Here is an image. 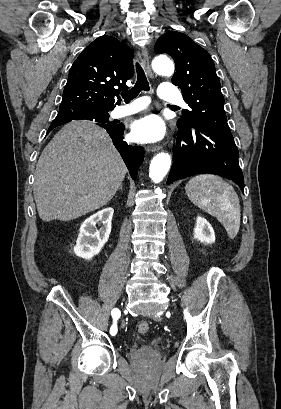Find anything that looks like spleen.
Returning a JSON list of instances; mask_svg holds the SVG:
<instances>
[{
  "label": "spleen",
  "mask_w": 281,
  "mask_h": 409,
  "mask_svg": "<svg viewBox=\"0 0 281 409\" xmlns=\"http://www.w3.org/2000/svg\"><path fill=\"white\" fill-rule=\"evenodd\" d=\"M185 190L193 205L216 217L229 239H235L240 229V200L229 182L216 174H198L190 178Z\"/></svg>",
  "instance_id": "1"
}]
</instances>
